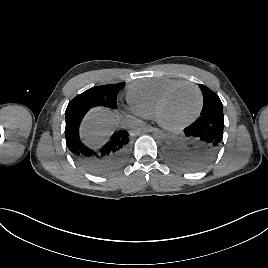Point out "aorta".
<instances>
[{"instance_id": "aorta-1", "label": "aorta", "mask_w": 268, "mask_h": 268, "mask_svg": "<svg viewBox=\"0 0 268 268\" xmlns=\"http://www.w3.org/2000/svg\"><path fill=\"white\" fill-rule=\"evenodd\" d=\"M153 136L156 140H164L166 139L167 134L161 130H157L154 132Z\"/></svg>"}]
</instances>
